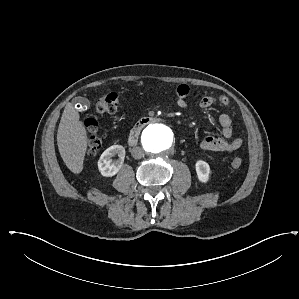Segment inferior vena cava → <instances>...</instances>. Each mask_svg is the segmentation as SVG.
I'll list each match as a JSON object with an SVG mask.
<instances>
[{"label":"inferior vena cava","instance_id":"obj_1","mask_svg":"<svg viewBox=\"0 0 299 299\" xmlns=\"http://www.w3.org/2000/svg\"><path fill=\"white\" fill-rule=\"evenodd\" d=\"M131 154H132L133 158L140 159L144 156V150L141 147H134L131 150Z\"/></svg>","mask_w":299,"mask_h":299}]
</instances>
